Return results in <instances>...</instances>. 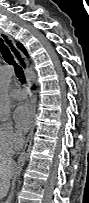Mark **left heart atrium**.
<instances>
[{"label":"left heart atrium","instance_id":"1","mask_svg":"<svg viewBox=\"0 0 89 203\" xmlns=\"http://www.w3.org/2000/svg\"><path fill=\"white\" fill-rule=\"evenodd\" d=\"M33 119V108L28 103H23L16 108L14 112V120L19 132H27L32 126Z\"/></svg>","mask_w":89,"mask_h":203}]
</instances>
